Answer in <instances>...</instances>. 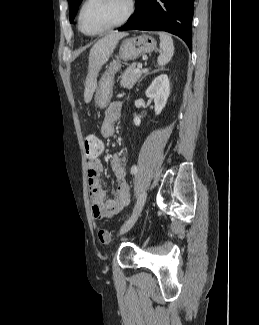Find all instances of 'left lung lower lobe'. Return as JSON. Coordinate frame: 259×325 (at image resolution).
Segmentation results:
<instances>
[{"instance_id":"0a47b994","label":"left lung lower lobe","mask_w":259,"mask_h":325,"mask_svg":"<svg viewBox=\"0 0 259 325\" xmlns=\"http://www.w3.org/2000/svg\"><path fill=\"white\" fill-rule=\"evenodd\" d=\"M134 14L118 28L124 30L166 31L191 47L194 0H135Z\"/></svg>"}]
</instances>
